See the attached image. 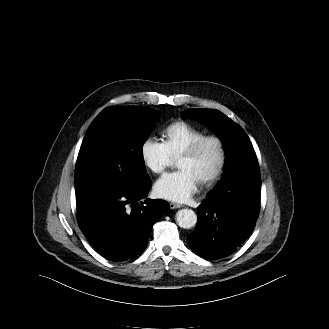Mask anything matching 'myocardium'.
<instances>
[{"label": "myocardium", "mask_w": 329, "mask_h": 329, "mask_svg": "<svg viewBox=\"0 0 329 329\" xmlns=\"http://www.w3.org/2000/svg\"><path fill=\"white\" fill-rule=\"evenodd\" d=\"M208 142H213L216 144L218 149V160L214 170L199 180L201 184L212 183L217 178H219L222 172L224 171L227 160L226 146L224 140L220 136L215 134L204 135L195 140L193 143H191L178 157H193Z\"/></svg>", "instance_id": "myocardium-1"}]
</instances>
